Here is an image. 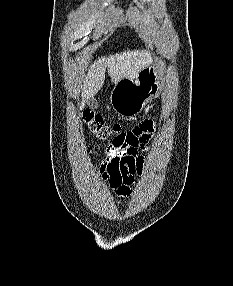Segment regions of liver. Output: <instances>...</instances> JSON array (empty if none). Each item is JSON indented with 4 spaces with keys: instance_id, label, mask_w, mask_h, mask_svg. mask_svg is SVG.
I'll use <instances>...</instances> for the list:
<instances>
[{
    "instance_id": "obj_1",
    "label": "liver",
    "mask_w": 233,
    "mask_h": 286,
    "mask_svg": "<svg viewBox=\"0 0 233 286\" xmlns=\"http://www.w3.org/2000/svg\"><path fill=\"white\" fill-rule=\"evenodd\" d=\"M90 54L91 52H88L86 56ZM152 62L151 54L143 50H129L110 55L108 58L101 57L90 67L87 75H84L79 109L82 110L85 102L94 97L103 86L106 68L111 80L116 84L123 78H136L138 73Z\"/></svg>"
}]
</instances>
